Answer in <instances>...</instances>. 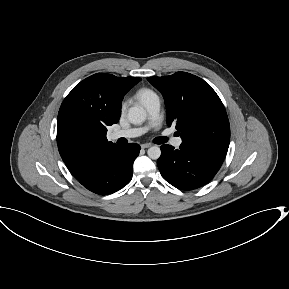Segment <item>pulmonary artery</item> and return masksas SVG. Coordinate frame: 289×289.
I'll use <instances>...</instances> for the list:
<instances>
[{"mask_svg":"<svg viewBox=\"0 0 289 289\" xmlns=\"http://www.w3.org/2000/svg\"><path fill=\"white\" fill-rule=\"evenodd\" d=\"M145 107L148 111L150 121L155 122L156 120H158L160 112V101L158 97H155L152 100H150ZM145 131H146L145 127L121 129L112 132L110 138L113 140L119 138H134L142 135ZM181 143L182 139L180 137L174 138L172 141V144L176 147H179Z\"/></svg>","mask_w":289,"mask_h":289,"instance_id":"e3ab8cb5","label":"pulmonary artery"}]
</instances>
